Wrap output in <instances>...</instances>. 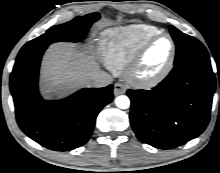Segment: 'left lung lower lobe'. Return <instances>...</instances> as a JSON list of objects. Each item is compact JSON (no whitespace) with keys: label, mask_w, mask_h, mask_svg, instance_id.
Segmentation results:
<instances>
[{"label":"left lung lower lobe","mask_w":220,"mask_h":173,"mask_svg":"<svg viewBox=\"0 0 220 173\" xmlns=\"http://www.w3.org/2000/svg\"><path fill=\"white\" fill-rule=\"evenodd\" d=\"M215 85L210 61L200 60L175 66L151 91L128 90L136 136L160 149L196 138L209 122Z\"/></svg>","instance_id":"0a47b994"}]
</instances>
